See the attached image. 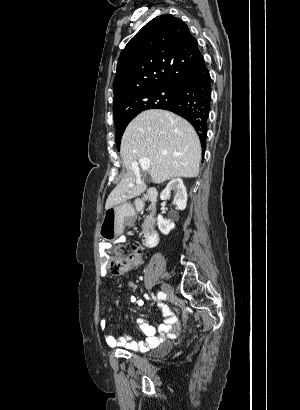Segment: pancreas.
Instances as JSON below:
<instances>
[{
  "instance_id": "pancreas-1",
  "label": "pancreas",
  "mask_w": 300,
  "mask_h": 410,
  "mask_svg": "<svg viewBox=\"0 0 300 410\" xmlns=\"http://www.w3.org/2000/svg\"><path fill=\"white\" fill-rule=\"evenodd\" d=\"M143 231H146V226H145V224L143 225Z\"/></svg>"
}]
</instances>
